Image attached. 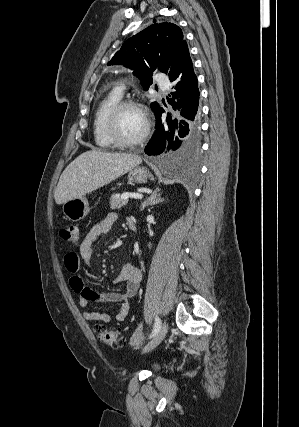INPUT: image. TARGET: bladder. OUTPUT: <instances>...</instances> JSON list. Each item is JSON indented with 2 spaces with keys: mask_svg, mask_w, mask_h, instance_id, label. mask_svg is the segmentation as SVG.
<instances>
[{
  "mask_svg": "<svg viewBox=\"0 0 299 427\" xmlns=\"http://www.w3.org/2000/svg\"><path fill=\"white\" fill-rule=\"evenodd\" d=\"M158 370H159V366H157V365H152V366H150V371H151L152 373L157 372Z\"/></svg>",
  "mask_w": 299,
  "mask_h": 427,
  "instance_id": "31cf9c89",
  "label": "bladder"
}]
</instances>
